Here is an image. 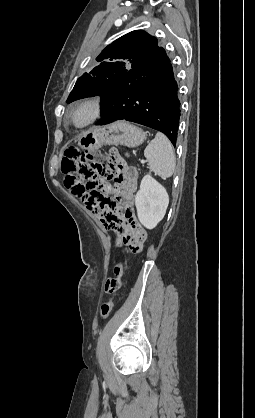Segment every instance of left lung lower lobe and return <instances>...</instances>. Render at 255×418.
<instances>
[{
  "instance_id": "obj_1",
  "label": "left lung lower lobe",
  "mask_w": 255,
  "mask_h": 418,
  "mask_svg": "<svg viewBox=\"0 0 255 418\" xmlns=\"http://www.w3.org/2000/svg\"><path fill=\"white\" fill-rule=\"evenodd\" d=\"M101 115L97 125L117 120L135 122L161 131L176 145L180 117L178 85L162 47L102 96Z\"/></svg>"
}]
</instances>
